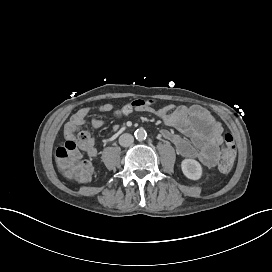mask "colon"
<instances>
[{
	"label": "colon",
	"mask_w": 272,
	"mask_h": 272,
	"mask_svg": "<svg viewBox=\"0 0 272 272\" xmlns=\"http://www.w3.org/2000/svg\"><path fill=\"white\" fill-rule=\"evenodd\" d=\"M145 104L144 100H133L127 104L128 108H136L143 106ZM87 115L86 110H79L74 120L71 124L66 127L67 139L66 141L56 148V158L61 161L58 165V170L63 175H72V180L77 185H82L86 182L87 176L91 172V166L86 161H80V155L74 154L77 151V143L74 136H78L79 145L84 150H90L95 145V140L89 135V132L85 126L80 125L81 120H83ZM111 118L113 120H118L120 118V113L118 111H113L111 113ZM224 146L216 154L220 155L218 160V169L220 172H229L234 165L236 146L234 143L233 136L230 133L224 134ZM74 157V158H73Z\"/></svg>",
	"instance_id": "obj_1"
}]
</instances>
